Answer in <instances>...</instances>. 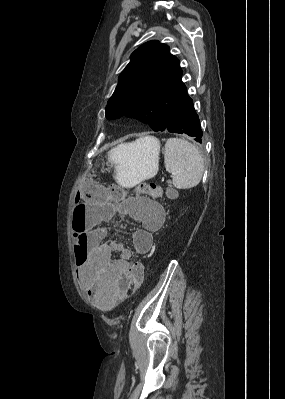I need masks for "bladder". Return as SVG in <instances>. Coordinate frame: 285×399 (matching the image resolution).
I'll use <instances>...</instances> for the list:
<instances>
[{
  "instance_id": "1",
  "label": "bladder",
  "mask_w": 285,
  "mask_h": 399,
  "mask_svg": "<svg viewBox=\"0 0 285 399\" xmlns=\"http://www.w3.org/2000/svg\"><path fill=\"white\" fill-rule=\"evenodd\" d=\"M138 199H144V201H145L147 204H152V203H153L152 201L147 200V199H145V198H136V200H138Z\"/></svg>"
}]
</instances>
